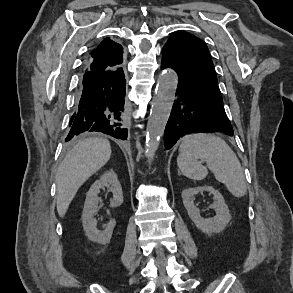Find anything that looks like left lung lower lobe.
I'll use <instances>...</instances> for the list:
<instances>
[{"label": "left lung lower lobe", "instance_id": "left-lung-lower-lobe-1", "mask_svg": "<svg viewBox=\"0 0 293 293\" xmlns=\"http://www.w3.org/2000/svg\"><path fill=\"white\" fill-rule=\"evenodd\" d=\"M166 67L173 68L179 80L176 100L165 128V148L171 149L178 139L190 133L222 132L233 135L222 97L188 81L170 51L163 48L161 68Z\"/></svg>", "mask_w": 293, "mask_h": 293}]
</instances>
